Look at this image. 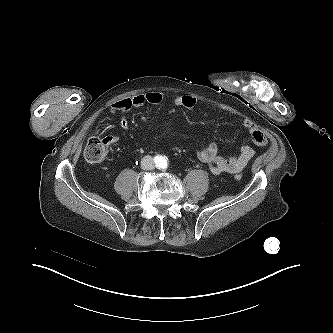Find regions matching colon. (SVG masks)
<instances>
[{
    "instance_id": "5ec220e1",
    "label": "colon",
    "mask_w": 333,
    "mask_h": 333,
    "mask_svg": "<svg viewBox=\"0 0 333 333\" xmlns=\"http://www.w3.org/2000/svg\"><path fill=\"white\" fill-rule=\"evenodd\" d=\"M111 143V137H103L99 135L90 137L84 149V157L86 161L93 164L102 162L107 157ZM234 178L240 180L242 175L235 174Z\"/></svg>"
}]
</instances>
